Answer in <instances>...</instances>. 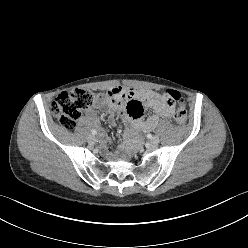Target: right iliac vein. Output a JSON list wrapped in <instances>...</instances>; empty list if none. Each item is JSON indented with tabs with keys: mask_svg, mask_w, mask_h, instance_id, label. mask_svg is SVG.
<instances>
[{
	"mask_svg": "<svg viewBox=\"0 0 248 248\" xmlns=\"http://www.w3.org/2000/svg\"><path fill=\"white\" fill-rule=\"evenodd\" d=\"M88 142H89L90 144H95V143H96V138H95L94 136H89V137H88Z\"/></svg>",
	"mask_w": 248,
	"mask_h": 248,
	"instance_id": "obj_1",
	"label": "right iliac vein"
}]
</instances>
